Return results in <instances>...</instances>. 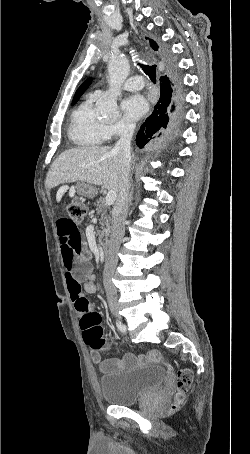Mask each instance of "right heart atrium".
I'll list each match as a JSON object with an SVG mask.
<instances>
[{"mask_svg":"<svg viewBox=\"0 0 250 454\" xmlns=\"http://www.w3.org/2000/svg\"><path fill=\"white\" fill-rule=\"evenodd\" d=\"M131 129L132 126L129 123L123 121L108 125V131L111 136L123 135Z\"/></svg>","mask_w":250,"mask_h":454,"instance_id":"1","label":"right heart atrium"}]
</instances>
